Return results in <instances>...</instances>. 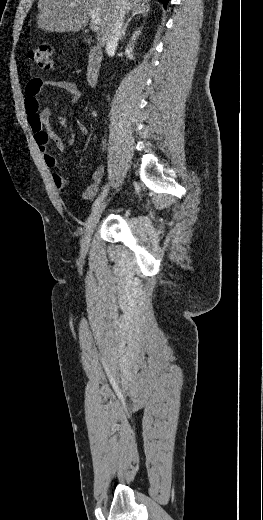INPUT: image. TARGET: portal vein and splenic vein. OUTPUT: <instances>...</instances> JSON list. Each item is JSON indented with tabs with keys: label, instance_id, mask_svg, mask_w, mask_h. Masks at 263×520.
<instances>
[{
	"label": "portal vein and splenic vein",
	"instance_id": "18ae733b",
	"mask_svg": "<svg viewBox=\"0 0 263 520\" xmlns=\"http://www.w3.org/2000/svg\"><path fill=\"white\" fill-rule=\"evenodd\" d=\"M71 6H74V4H71ZM89 15L91 17L93 25H95V26L99 25V23L101 21L100 15L94 11H89Z\"/></svg>",
	"mask_w": 263,
	"mask_h": 520
}]
</instances>
